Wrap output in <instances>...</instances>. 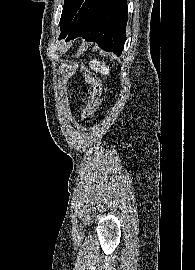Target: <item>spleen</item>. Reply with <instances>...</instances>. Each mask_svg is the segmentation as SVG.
I'll return each instance as SVG.
<instances>
[{
	"instance_id": "obj_1",
	"label": "spleen",
	"mask_w": 195,
	"mask_h": 270,
	"mask_svg": "<svg viewBox=\"0 0 195 270\" xmlns=\"http://www.w3.org/2000/svg\"><path fill=\"white\" fill-rule=\"evenodd\" d=\"M89 66L91 70L101 73L102 75L110 76V68L106 66L104 63H101L97 59H93L89 62Z\"/></svg>"
}]
</instances>
